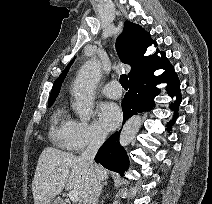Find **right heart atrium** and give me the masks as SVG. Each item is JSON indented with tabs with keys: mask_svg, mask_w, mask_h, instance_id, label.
<instances>
[{
	"mask_svg": "<svg viewBox=\"0 0 212 204\" xmlns=\"http://www.w3.org/2000/svg\"><path fill=\"white\" fill-rule=\"evenodd\" d=\"M105 137L106 133L98 123L75 121L70 137V149L75 152L83 151L87 147L99 145Z\"/></svg>",
	"mask_w": 212,
	"mask_h": 204,
	"instance_id": "obj_1",
	"label": "right heart atrium"
}]
</instances>
